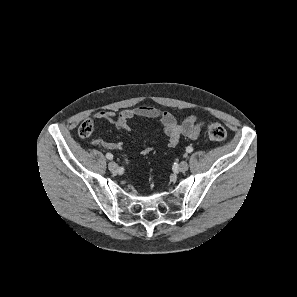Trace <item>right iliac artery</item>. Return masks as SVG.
Instances as JSON below:
<instances>
[{
    "label": "right iliac artery",
    "instance_id": "right-iliac-artery-1",
    "mask_svg": "<svg viewBox=\"0 0 297 297\" xmlns=\"http://www.w3.org/2000/svg\"><path fill=\"white\" fill-rule=\"evenodd\" d=\"M106 158L109 159V160H111V159H113V155L111 153H107L106 154Z\"/></svg>",
    "mask_w": 297,
    "mask_h": 297
}]
</instances>
